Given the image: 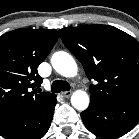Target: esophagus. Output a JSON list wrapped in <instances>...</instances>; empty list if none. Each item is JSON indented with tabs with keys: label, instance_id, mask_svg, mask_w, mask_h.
Masks as SVG:
<instances>
[{
	"label": "esophagus",
	"instance_id": "34e87169",
	"mask_svg": "<svg viewBox=\"0 0 139 139\" xmlns=\"http://www.w3.org/2000/svg\"><path fill=\"white\" fill-rule=\"evenodd\" d=\"M62 95H63V97L68 98V97H70L72 95V91L62 92Z\"/></svg>",
	"mask_w": 139,
	"mask_h": 139
}]
</instances>
